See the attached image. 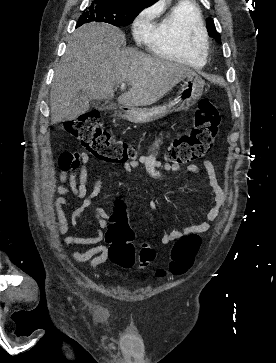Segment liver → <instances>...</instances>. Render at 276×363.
Segmentation results:
<instances>
[{
  "mask_svg": "<svg viewBox=\"0 0 276 363\" xmlns=\"http://www.w3.org/2000/svg\"><path fill=\"white\" fill-rule=\"evenodd\" d=\"M125 42L120 29L105 23L85 24L74 31L51 85V124L70 116L72 99L79 92L91 100H111L114 86L127 83L131 89L118 97V103L127 108L147 106L196 75L182 64L121 49Z\"/></svg>",
  "mask_w": 276,
  "mask_h": 363,
  "instance_id": "liver-1",
  "label": "liver"
}]
</instances>
